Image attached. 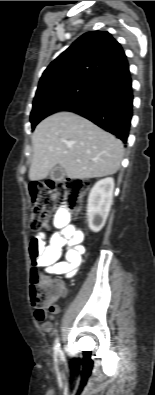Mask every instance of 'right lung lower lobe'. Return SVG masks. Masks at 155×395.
Masks as SVG:
<instances>
[{"label":"right lung lower lobe","instance_id":"98d812e1","mask_svg":"<svg viewBox=\"0 0 155 395\" xmlns=\"http://www.w3.org/2000/svg\"><path fill=\"white\" fill-rule=\"evenodd\" d=\"M132 107V80L128 69L109 75L95 91L65 111L79 114L126 143Z\"/></svg>","mask_w":155,"mask_h":395}]
</instances>
